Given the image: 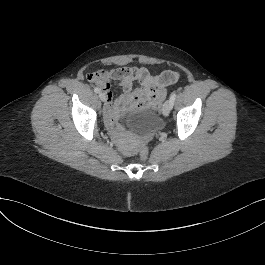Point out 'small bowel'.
I'll list each match as a JSON object with an SVG mask.
<instances>
[{
  "label": "small bowel",
  "instance_id": "small-bowel-1",
  "mask_svg": "<svg viewBox=\"0 0 265 265\" xmlns=\"http://www.w3.org/2000/svg\"><path fill=\"white\" fill-rule=\"evenodd\" d=\"M119 67L101 71L99 78L89 77L90 81L101 88L106 96L103 109L104 120L108 128L114 131L122 113L127 109L159 106L166 97V89L175 83L179 74L175 71H165L160 75H152L142 66H128L124 58L106 60ZM118 84L123 94L114 99L112 85ZM137 83V86L134 84ZM99 88V89H100Z\"/></svg>",
  "mask_w": 265,
  "mask_h": 265
}]
</instances>
